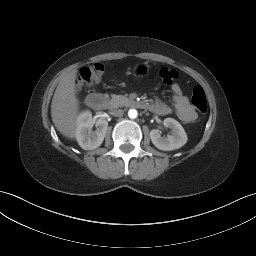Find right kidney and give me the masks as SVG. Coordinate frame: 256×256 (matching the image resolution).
I'll return each mask as SVG.
<instances>
[{
  "label": "right kidney",
  "instance_id": "ca27d5eb",
  "mask_svg": "<svg viewBox=\"0 0 256 256\" xmlns=\"http://www.w3.org/2000/svg\"><path fill=\"white\" fill-rule=\"evenodd\" d=\"M96 125V130L92 131V127ZM108 122L105 119L97 121L92 117L90 111L81 112L77 117L76 139L81 148L85 150H93L98 148L106 135Z\"/></svg>",
  "mask_w": 256,
  "mask_h": 256
}]
</instances>
